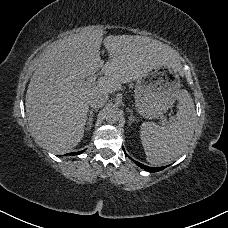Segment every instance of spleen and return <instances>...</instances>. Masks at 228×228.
Instances as JSON below:
<instances>
[{
    "mask_svg": "<svg viewBox=\"0 0 228 228\" xmlns=\"http://www.w3.org/2000/svg\"><path fill=\"white\" fill-rule=\"evenodd\" d=\"M177 99L178 111L171 124L159 126L145 122L141 126L140 138L150 164L175 160L187 149L193 137L196 117L193 99L187 90H181Z\"/></svg>",
    "mask_w": 228,
    "mask_h": 228,
    "instance_id": "spleen-1",
    "label": "spleen"
}]
</instances>
